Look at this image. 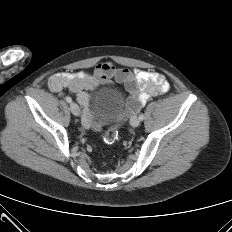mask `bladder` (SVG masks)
<instances>
[{
    "mask_svg": "<svg viewBox=\"0 0 232 232\" xmlns=\"http://www.w3.org/2000/svg\"><path fill=\"white\" fill-rule=\"evenodd\" d=\"M123 100L124 97L121 91L102 87L95 93L93 105L98 115L103 110H107L109 113H115L121 109Z\"/></svg>",
    "mask_w": 232,
    "mask_h": 232,
    "instance_id": "1",
    "label": "bladder"
}]
</instances>
